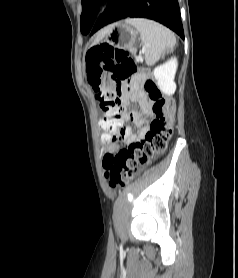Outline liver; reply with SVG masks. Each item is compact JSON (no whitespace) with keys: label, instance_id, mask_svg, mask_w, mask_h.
Returning <instances> with one entry per match:
<instances>
[{"label":"liver","instance_id":"liver-1","mask_svg":"<svg viewBox=\"0 0 238 278\" xmlns=\"http://www.w3.org/2000/svg\"><path fill=\"white\" fill-rule=\"evenodd\" d=\"M105 33H106V32H105V29L102 30V31L98 34L97 38L95 39V43L99 42V41L104 37Z\"/></svg>","mask_w":238,"mask_h":278}]
</instances>
